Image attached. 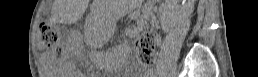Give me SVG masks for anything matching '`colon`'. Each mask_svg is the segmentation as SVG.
I'll return each mask as SVG.
<instances>
[{
  "label": "colon",
  "instance_id": "5ec220e1",
  "mask_svg": "<svg viewBox=\"0 0 258 77\" xmlns=\"http://www.w3.org/2000/svg\"><path fill=\"white\" fill-rule=\"evenodd\" d=\"M61 32L59 29L46 23L40 24L38 27V36L41 42L45 45H51L60 38ZM156 38L152 32L141 33L136 40V54L138 61L149 66L155 58Z\"/></svg>",
  "mask_w": 258,
  "mask_h": 77
}]
</instances>
